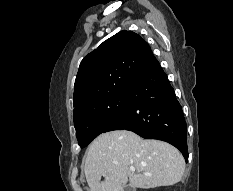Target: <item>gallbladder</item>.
Wrapping results in <instances>:
<instances>
[{
    "mask_svg": "<svg viewBox=\"0 0 233 191\" xmlns=\"http://www.w3.org/2000/svg\"><path fill=\"white\" fill-rule=\"evenodd\" d=\"M123 191H135V188L131 187L130 185H127L124 187Z\"/></svg>",
    "mask_w": 233,
    "mask_h": 191,
    "instance_id": "obj_1",
    "label": "gallbladder"
}]
</instances>
